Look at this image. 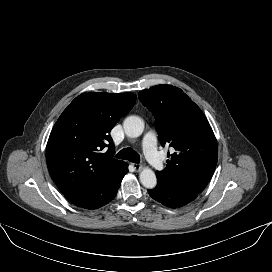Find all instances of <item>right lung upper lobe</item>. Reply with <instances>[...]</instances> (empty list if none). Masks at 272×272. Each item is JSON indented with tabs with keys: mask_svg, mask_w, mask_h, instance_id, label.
Segmentation results:
<instances>
[{
	"mask_svg": "<svg viewBox=\"0 0 272 272\" xmlns=\"http://www.w3.org/2000/svg\"><path fill=\"white\" fill-rule=\"evenodd\" d=\"M136 98L133 93H82L63 111L46 147L49 173L63 194L90 189L122 162L113 158L110 131Z\"/></svg>",
	"mask_w": 272,
	"mask_h": 272,
	"instance_id": "1",
	"label": "right lung upper lobe"
}]
</instances>
